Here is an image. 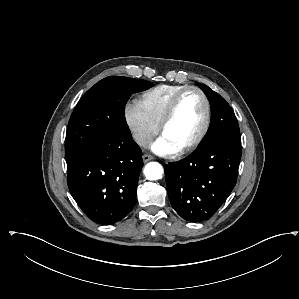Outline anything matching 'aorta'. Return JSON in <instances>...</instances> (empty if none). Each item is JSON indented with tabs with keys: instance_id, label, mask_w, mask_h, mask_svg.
<instances>
[{
	"instance_id": "obj_1",
	"label": "aorta",
	"mask_w": 299,
	"mask_h": 299,
	"mask_svg": "<svg viewBox=\"0 0 299 299\" xmlns=\"http://www.w3.org/2000/svg\"><path fill=\"white\" fill-rule=\"evenodd\" d=\"M164 173L163 167L158 162H149L144 168L146 179L154 181L162 178Z\"/></svg>"
}]
</instances>
